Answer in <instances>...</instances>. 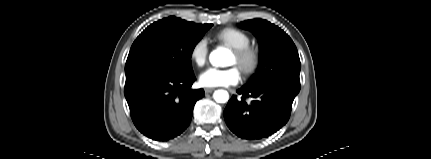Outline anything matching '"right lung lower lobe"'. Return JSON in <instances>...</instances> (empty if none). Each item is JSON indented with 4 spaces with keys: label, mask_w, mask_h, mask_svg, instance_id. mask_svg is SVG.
I'll list each match as a JSON object with an SVG mask.
<instances>
[{
    "label": "right lung lower lobe",
    "mask_w": 431,
    "mask_h": 159,
    "mask_svg": "<svg viewBox=\"0 0 431 159\" xmlns=\"http://www.w3.org/2000/svg\"><path fill=\"white\" fill-rule=\"evenodd\" d=\"M192 75L173 74L148 68L126 77L124 94L137 129L156 141H167L183 133L193 108L204 90H191Z\"/></svg>",
    "instance_id": "right-lung-lower-lobe-1"
}]
</instances>
